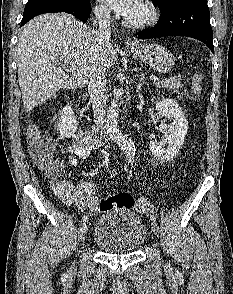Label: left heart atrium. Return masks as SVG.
I'll return each instance as SVG.
<instances>
[{"label": "left heart atrium", "mask_w": 233, "mask_h": 294, "mask_svg": "<svg viewBox=\"0 0 233 294\" xmlns=\"http://www.w3.org/2000/svg\"><path fill=\"white\" fill-rule=\"evenodd\" d=\"M117 14L131 20L143 6V0H102Z\"/></svg>", "instance_id": "1"}]
</instances>
